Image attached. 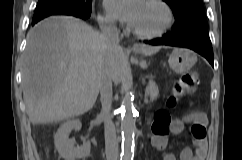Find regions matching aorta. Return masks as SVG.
I'll use <instances>...</instances> for the list:
<instances>
[{
	"mask_svg": "<svg viewBox=\"0 0 242 160\" xmlns=\"http://www.w3.org/2000/svg\"><path fill=\"white\" fill-rule=\"evenodd\" d=\"M132 78L126 82V95L121 106V134L122 152L121 160H133L134 156V137L136 129V110L134 107V97L131 91Z\"/></svg>",
	"mask_w": 242,
	"mask_h": 160,
	"instance_id": "1",
	"label": "aorta"
}]
</instances>
